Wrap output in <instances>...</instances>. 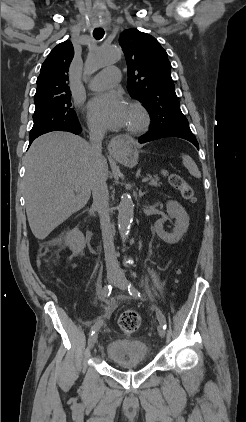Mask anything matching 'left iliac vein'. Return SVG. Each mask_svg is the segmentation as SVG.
Masks as SVG:
<instances>
[{"mask_svg":"<svg viewBox=\"0 0 246 422\" xmlns=\"http://www.w3.org/2000/svg\"><path fill=\"white\" fill-rule=\"evenodd\" d=\"M115 286L121 290H127L128 281L122 273L118 275L117 280L115 281ZM157 330L159 336L163 338L165 336V329L163 328V325L160 324Z\"/></svg>","mask_w":246,"mask_h":422,"instance_id":"left-iliac-vein-1","label":"left iliac vein"}]
</instances>
